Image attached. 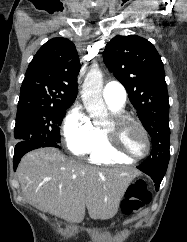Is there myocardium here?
<instances>
[{"label":"myocardium","instance_id":"1","mask_svg":"<svg viewBox=\"0 0 187 242\" xmlns=\"http://www.w3.org/2000/svg\"><path fill=\"white\" fill-rule=\"evenodd\" d=\"M110 127L104 128L105 138L108 148L116 155L124 157L130 161H139L146 158L151 152V140L145 127L134 117L118 112L112 114L110 118ZM128 124L137 127L144 136L146 142V150L143 154L134 156L129 154L121 145L120 132L122 128Z\"/></svg>","mask_w":187,"mask_h":242}]
</instances>
